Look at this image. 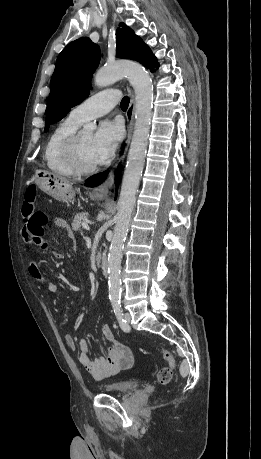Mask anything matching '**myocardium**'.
<instances>
[{"instance_id":"myocardium-1","label":"myocardium","mask_w":261,"mask_h":459,"mask_svg":"<svg viewBox=\"0 0 261 459\" xmlns=\"http://www.w3.org/2000/svg\"><path fill=\"white\" fill-rule=\"evenodd\" d=\"M80 133L75 132L66 142L64 147V156L70 168L79 175H88L94 173L97 165L86 166L81 158L80 151Z\"/></svg>"}]
</instances>
